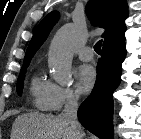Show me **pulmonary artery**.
<instances>
[{
	"mask_svg": "<svg viewBox=\"0 0 141 139\" xmlns=\"http://www.w3.org/2000/svg\"><path fill=\"white\" fill-rule=\"evenodd\" d=\"M78 57L85 62L91 61L94 58L93 51L90 47H84L79 51Z\"/></svg>",
	"mask_w": 141,
	"mask_h": 139,
	"instance_id": "e3ab8cb5",
	"label": "pulmonary artery"
}]
</instances>
